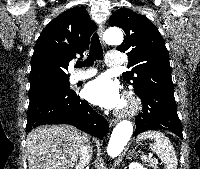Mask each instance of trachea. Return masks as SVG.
Returning a JSON list of instances; mask_svg holds the SVG:
<instances>
[{"instance_id":"trachea-1","label":"trachea","mask_w":200,"mask_h":169,"mask_svg":"<svg viewBox=\"0 0 200 169\" xmlns=\"http://www.w3.org/2000/svg\"><path fill=\"white\" fill-rule=\"evenodd\" d=\"M102 59H103V51L99 40V36L97 33H94L91 38V47L87 59L84 62L80 61L77 62L75 67L77 68L89 67L93 65L96 60H102Z\"/></svg>"}]
</instances>
